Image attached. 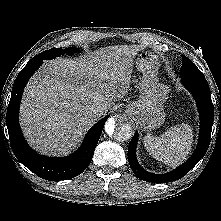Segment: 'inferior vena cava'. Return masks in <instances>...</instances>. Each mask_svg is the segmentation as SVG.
Masks as SVG:
<instances>
[{
	"mask_svg": "<svg viewBox=\"0 0 221 221\" xmlns=\"http://www.w3.org/2000/svg\"><path fill=\"white\" fill-rule=\"evenodd\" d=\"M103 112V109L101 107H97L95 109H93V113L96 115V116H100Z\"/></svg>",
	"mask_w": 221,
	"mask_h": 221,
	"instance_id": "1",
	"label": "inferior vena cava"
}]
</instances>
